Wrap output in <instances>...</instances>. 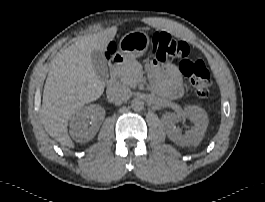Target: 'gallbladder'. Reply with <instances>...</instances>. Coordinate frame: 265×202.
Returning a JSON list of instances; mask_svg holds the SVG:
<instances>
[{"label":"gallbladder","instance_id":"1","mask_svg":"<svg viewBox=\"0 0 265 202\" xmlns=\"http://www.w3.org/2000/svg\"><path fill=\"white\" fill-rule=\"evenodd\" d=\"M91 59L94 70L99 78L104 79L108 75V67L104 54L101 51L94 50L91 52Z\"/></svg>","mask_w":265,"mask_h":202}]
</instances>
